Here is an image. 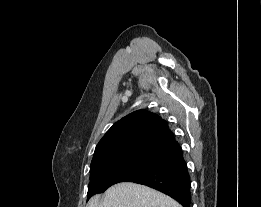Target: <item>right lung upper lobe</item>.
I'll return each instance as SVG.
<instances>
[{
	"label": "right lung upper lobe",
	"mask_w": 261,
	"mask_h": 207,
	"mask_svg": "<svg viewBox=\"0 0 261 207\" xmlns=\"http://www.w3.org/2000/svg\"><path fill=\"white\" fill-rule=\"evenodd\" d=\"M182 152L165 120L146 110L117 121L97 144L91 165L128 157L158 162Z\"/></svg>",
	"instance_id": "obj_1"
}]
</instances>
